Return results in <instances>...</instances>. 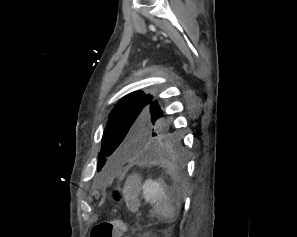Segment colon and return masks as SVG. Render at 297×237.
Returning <instances> with one entry per match:
<instances>
[{"mask_svg": "<svg viewBox=\"0 0 297 237\" xmlns=\"http://www.w3.org/2000/svg\"><path fill=\"white\" fill-rule=\"evenodd\" d=\"M137 193L138 181L128 179L122 193H115L114 199L116 201L123 199L126 205L133 209L137 205ZM127 229V225L121 221H104L93 227L90 237H128L124 235Z\"/></svg>", "mask_w": 297, "mask_h": 237, "instance_id": "5ec220e1", "label": "colon"}]
</instances>
